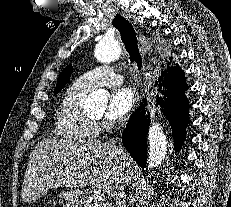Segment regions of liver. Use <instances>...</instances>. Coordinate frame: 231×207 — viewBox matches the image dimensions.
I'll return each instance as SVG.
<instances>
[{
  "label": "liver",
  "instance_id": "1",
  "mask_svg": "<svg viewBox=\"0 0 231 207\" xmlns=\"http://www.w3.org/2000/svg\"><path fill=\"white\" fill-rule=\"evenodd\" d=\"M118 155L108 143L97 140L47 138L39 142L29 156L22 200L35 202L50 188H84L115 195L120 183L128 184L133 170L126 154L122 171Z\"/></svg>",
  "mask_w": 231,
  "mask_h": 207
}]
</instances>
